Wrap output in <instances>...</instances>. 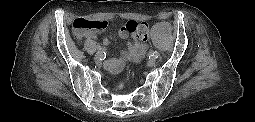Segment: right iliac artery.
I'll list each match as a JSON object with an SVG mask.
<instances>
[{"instance_id": "82829eb1", "label": "right iliac artery", "mask_w": 255, "mask_h": 122, "mask_svg": "<svg viewBox=\"0 0 255 122\" xmlns=\"http://www.w3.org/2000/svg\"><path fill=\"white\" fill-rule=\"evenodd\" d=\"M97 54H104V51H103V48L102 47H98V51H97Z\"/></svg>"}]
</instances>
